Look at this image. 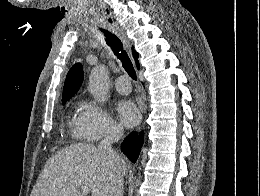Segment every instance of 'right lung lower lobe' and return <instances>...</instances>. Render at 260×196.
<instances>
[{
    "label": "right lung lower lobe",
    "mask_w": 260,
    "mask_h": 196,
    "mask_svg": "<svg viewBox=\"0 0 260 196\" xmlns=\"http://www.w3.org/2000/svg\"><path fill=\"white\" fill-rule=\"evenodd\" d=\"M144 133L140 132L139 135L136 132H131L121 144L122 152L135 163L140 154V149L143 144Z\"/></svg>",
    "instance_id": "right-lung-lower-lobe-1"
}]
</instances>
